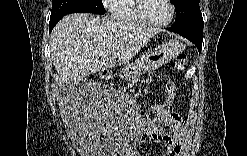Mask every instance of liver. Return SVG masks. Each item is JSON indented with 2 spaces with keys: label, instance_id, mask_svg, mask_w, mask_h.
<instances>
[{
  "label": "liver",
  "instance_id": "liver-1",
  "mask_svg": "<svg viewBox=\"0 0 247 156\" xmlns=\"http://www.w3.org/2000/svg\"><path fill=\"white\" fill-rule=\"evenodd\" d=\"M159 32L108 16H65L54 27L49 40L59 87L69 80L77 83L92 73L128 62Z\"/></svg>",
  "mask_w": 247,
  "mask_h": 156
}]
</instances>
